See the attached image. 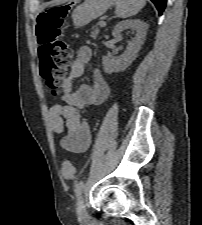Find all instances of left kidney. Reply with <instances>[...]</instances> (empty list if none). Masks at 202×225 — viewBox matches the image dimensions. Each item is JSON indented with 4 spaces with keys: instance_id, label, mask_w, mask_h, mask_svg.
<instances>
[{
    "instance_id": "5707ae66",
    "label": "left kidney",
    "mask_w": 202,
    "mask_h": 225,
    "mask_svg": "<svg viewBox=\"0 0 202 225\" xmlns=\"http://www.w3.org/2000/svg\"><path fill=\"white\" fill-rule=\"evenodd\" d=\"M127 29L135 30L136 36L128 42L126 52L120 57H103V68L107 74L125 71L137 58L138 52L145 41L148 25L139 19L121 21L114 27L112 35L116 39H122L121 33Z\"/></svg>"
}]
</instances>
